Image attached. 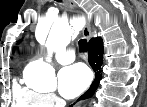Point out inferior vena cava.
Here are the masks:
<instances>
[{
	"label": "inferior vena cava",
	"instance_id": "602c4592",
	"mask_svg": "<svg viewBox=\"0 0 147 107\" xmlns=\"http://www.w3.org/2000/svg\"><path fill=\"white\" fill-rule=\"evenodd\" d=\"M66 102L64 100H60L56 107H65Z\"/></svg>",
	"mask_w": 147,
	"mask_h": 107
}]
</instances>
